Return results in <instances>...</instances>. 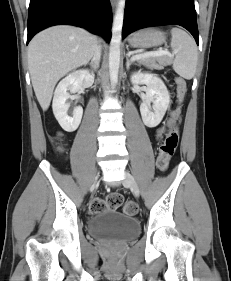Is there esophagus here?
Returning <instances> with one entry per match:
<instances>
[{
  "label": "esophagus",
  "instance_id": "1",
  "mask_svg": "<svg viewBox=\"0 0 231 281\" xmlns=\"http://www.w3.org/2000/svg\"><path fill=\"white\" fill-rule=\"evenodd\" d=\"M111 1V5H112V7L114 8L115 7V5H116V0H110Z\"/></svg>",
  "mask_w": 231,
  "mask_h": 281
}]
</instances>
